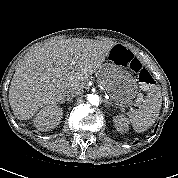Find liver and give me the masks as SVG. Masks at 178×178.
<instances>
[{
    "instance_id": "obj_1",
    "label": "liver",
    "mask_w": 178,
    "mask_h": 178,
    "mask_svg": "<svg viewBox=\"0 0 178 178\" xmlns=\"http://www.w3.org/2000/svg\"><path fill=\"white\" fill-rule=\"evenodd\" d=\"M113 41L61 39L45 43L16 69L9 88L11 109L20 120L60 102L73 90H83L100 69Z\"/></svg>"
}]
</instances>
